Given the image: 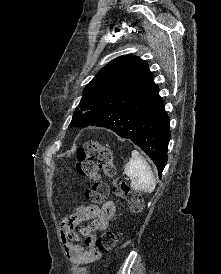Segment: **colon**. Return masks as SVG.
Here are the masks:
<instances>
[{
	"label": "colon",
	"mask_w": 221,
	"mask_h": 274,
	"mask_svg": "<svg viewBox=\"0 0 221 274\" xmlns=\"http://www.w3.org/2000/svg\"><path fill=\"white\" fill-rule=\"evenodd\" d=\"M77 172L89 179L90 187L85 196L93 203L104 202L110 193L109 185L102 180L101 172L112 179L114 193L123 198L130 211L137 213L143 206L141 194L131 189L128 184L116 175L113 154L109 147L98 141H89L79 148L77 155ZM116 245V235L111 231L102 233L96 240V248L105 253L111 252Z\"/></svg>",
	"instance_id": "colon-1"
}]
</instances>
